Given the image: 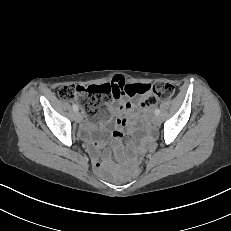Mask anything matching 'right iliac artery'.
<instances>
[{
    "label": "right iliac artery",
    "mask_w": 231,
    "mask_h": 231,
    "mask_svg": "<svg viewBox=\"0 0 231 231\" xmlns=\"http://www.w3.org/2000/svg\"><path fill=\"white\" fill-rule=\"evenodd\" d=\"M72 108H73V110H74L75 112L78 111V106H77L76 104H73Z\"/></svg>",
    "instance_id": "82829eb1"
}]
</instances>
